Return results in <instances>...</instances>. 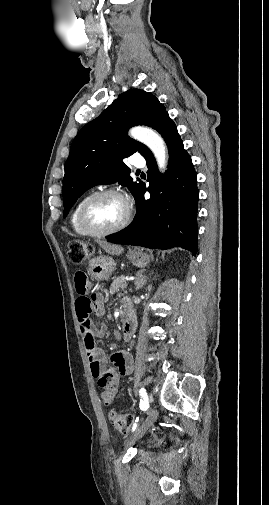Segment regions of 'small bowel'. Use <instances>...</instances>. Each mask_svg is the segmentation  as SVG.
<instances>
[{"label":"small bowel","mask_w":269,"mask_h":505,"mask_svg":"<svg viewBox=\"0 0 269 505\" xmlns=\"http://www.w3.org/2000/svg\"><path fill=\"white\" fill-rule=\"evenodd\" d=\"M73 269L75 271V312L80 324L91 372L94 377H98L103 372L107 363V357L104 351L95 345L94 336H103L106 333L107 326L105 323L95 325L91 319L92 315H100L102 313V302L96 295H91V292L87 289L86 271L77 265ZM110 360L113 369L118 373L120 378L131 374L133 359L129 352L124 350L115 352L111 355Z\"/></svg>","instance_id":"small-bowel-1"}]
</instances>
